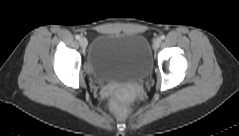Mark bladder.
<instances>
[{"mask_svg": "<svg viewBox=\"0 0 239 136\" xmlns=\"http://www.w3.org/2000/svg\"><path fill=\"white\" fill-rule=\"evenodd\" d=\"M88 72L96 78H143L152 69V53L147 39L137 33H99L87 61Z\"/></svg>", "mask_w": 239, "mask_h": 136, "instance_id": "1", "label": "bladder"}]
</instances>
